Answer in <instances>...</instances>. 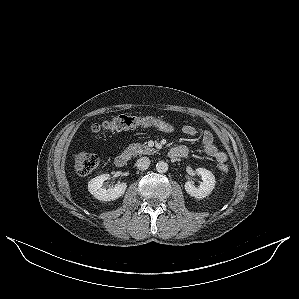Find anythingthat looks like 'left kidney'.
Listing matches in <instances>:
<instances>
[{"label": "left kidney", "instance_id": "5707ae66", "mask_svg": "<svg viewBox=\"0 0 299 299\" xmlns=\"http://www.w3.org/2000/svg\"><path fill=\"white\" fill-rule=\"evenodd\" d=\"M196 173L202 177L203 182L195 187L190 181L186 182L184 187L186 192L195 198H204L208 196L215 188V176L205 168H197Z\"/></svg>", "mask_w": 299, "mask_h": 299}]
</instances>
